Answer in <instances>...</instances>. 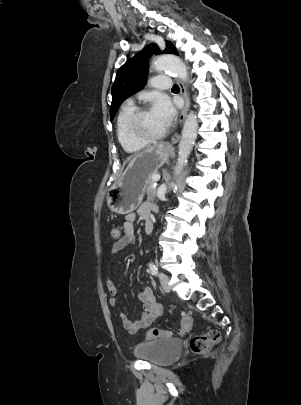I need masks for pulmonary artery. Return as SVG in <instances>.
<instances>
[{
  "instance_id": "1",
  "label": "pulmonary artery",
  "mask_w": 301,
  "mask_h": 405,
  "mask_svg": "<svg viewBox=\"0 0 301 405\" xmlns=\"http://www.w3.org/2000/svg\"><path fill=\"white\" fill-rule=\"evenodd\" d=\"M151 83L155 88L168 89L171 87V79L166 75L154 76L151 79ZM128 104H132L131 100H128Z\"/></svg>"
}]
</instances>
